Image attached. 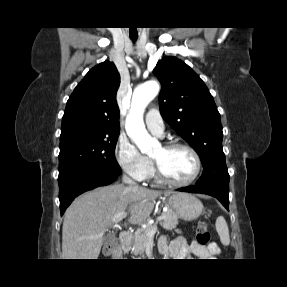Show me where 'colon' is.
<instances>
[{
    "instance_id": "5ec220e1",
    "label": "colon",
    "mask_w": 287,
    "mask_h": 287,
    "mask_svg": "<svg viewBox=\"0 0 287 287\" xmlns=\"http://www.w3.org/2000/svg\"><path fill=\"white\" fill-rule=\"evenodd\" d=\"M210 231L205 221H200L196 230V241L198 244L205 246L210 242Z\"/></svg>"
}]
</instances>
